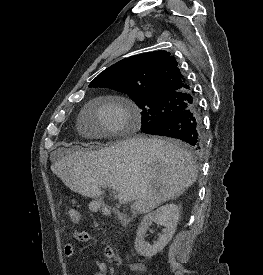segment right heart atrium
I'll return each instance as SVG.
<instances>
[{
    "mask_svg": "<svg viewBox=\"0 0 263 275\" xmlns=\"http://www.w3.org/2000/svg\"><path fill=\"white\" fill-rule=\"evenodd\" d=\"M97 117L106 132H115L128 127L129 113L121 104L111 102L97 110Z\"/></svg>",
    "mask_w": 263,
    "mask_h": 275,
    "instance_id": "obj_1",
    "label": "right heart atrium"
}]
</instances>
